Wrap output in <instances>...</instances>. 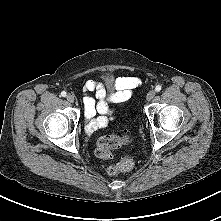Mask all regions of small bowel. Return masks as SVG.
<instances>
[{
	"label": "small bowel",
	"mask_w": 221,
	"mask_h": 221,
	"mask_svg": "<svg viewBox=\"0 0 221 221\" xmlns=\"http://www.w3.org/2000/svg\"><path fill=\"white\" fill-rule=\"evenodd\" d=\"M139 83L136 77H118L113 81L115 90L108 94L101 83L94 80L87 81L85 90L94 92L99 100L95 102L91 96H86L84 99L85 116L89 119L87 133L91 135L96 129L106 126L113 114L108 102L119 103L128 100ZM96 113L101 116L95 118Z\"/></svg>",
	"instance_id": "obj_1"
}]
</instances>
